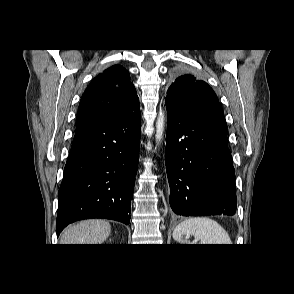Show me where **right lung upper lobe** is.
<instances>
[{"mask_svg": "<svg viewBox=\"0 0 294 294\" xmlns=\"http://www.w3.org/2000/svg\"><path fill=\"white\" fill-rule=\"evenodd\" d=\"M130 75L120 65L99 74L86 88L78 109L76 126L110 119L138 102Z\"/></svg>", "mask_w": 294, "mask_h": 294, "instance_id": "cb5924a9", "label": "right lung upper lobe"}]
</instances>
